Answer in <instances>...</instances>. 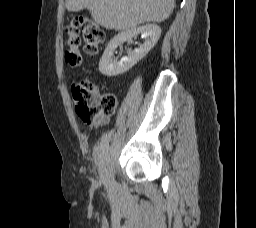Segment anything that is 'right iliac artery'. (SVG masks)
<instances>
[{
    "instance_id": "82829eb1",
    "label": "right iliac artery",
    "mask_w": 256,
    "mask_h": 228,
    "mask_svg": "<svg viewBox=\"0 0 256 228\" xmlns=\"http://www.w3.org/2000/svg\"><path fill=\"white\" fill-rule=\"evenodd\" d=\"M112 134L108 133L107 136L104 137V139L102 140V144H101V155L104 153V151L106 150L105 144L109 143V141L111 140Z\"/></svg>"
}]
</instances>
